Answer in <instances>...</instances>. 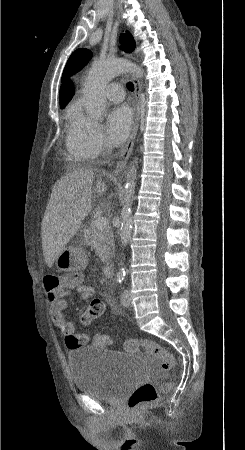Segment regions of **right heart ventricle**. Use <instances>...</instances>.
<instances>
[{"label":"right heart ventricle","instance_id":"right-heart-ventricle-1","mask_svg":"<svg viewBox=\"0 0 245 450\" xmlns=\"http://www.w3.org/2000/svg\"><path fill=\"white\" fill-rule=\"evenodd\" d=\"M77 113H78V110H77L76 108H72V109L69 111L68 116H69L71 122H72V120L75 118V116L77 115ZM70 130H71V127H70L69 132H68L67 145H68V142H69Z\"/></svg>","mask_w":245,"mask_h":450}]
</instances>
